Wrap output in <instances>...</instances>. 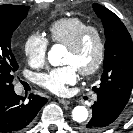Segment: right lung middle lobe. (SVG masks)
Returning <instances> with one entry per match:
<instances>
[{"mask_svg": "<svg viewBox=\"0 0 133 133\" xmlns=\"http://www.w3.org/2000/svg\"><path fill=\"white\" fill-rule=\"evenodd\" d=\"M28 10V6H0V96L13 90L18 63L11 51V38Z\"/></svg>", "mask_w": 133, "mask_h": 133, "instance_id": "1", "label": "right lung middle lobe"}]
</instances>
